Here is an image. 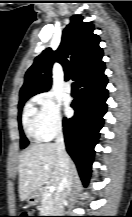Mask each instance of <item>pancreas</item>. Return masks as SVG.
Returning a JSON list of instances; mask_svg holds the SVG:
<instances>
[{"label":"pancreas","instance_id":"cf45deb5","mask_svg":"<svg viewBox=\"0 0 132 217\" xmlns=\"http://www.w3.org/2000/svg\"><path fill=\"white\" fill-rule=\"evenodd\" d=\"M55 207L54 195L51 193H44L41 204H40V212L43 216H48L53 213Z\"/></svg>","mask_w":132,"mask_h":217}]
</instances>
